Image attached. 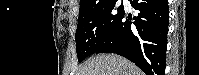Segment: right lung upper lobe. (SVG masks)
<instances>
[{
    "instance_id": "right-lung-upper-lobe-1",
    "label": "right lung upper lobe",
    "mask_w": 199,
    "mask_h": 75,
    "mask_svg": "<svg viewBox=\"0 0 199 75\" xmlns=\"http://www.w3.org/2000/svg\"><path fill=\"white\" fill-rule=\"evenodd\" d=\"M109 0H81L80 1V11L79 13L88 11L104 2H107Z\"/></svg>"
}]
</instances>
